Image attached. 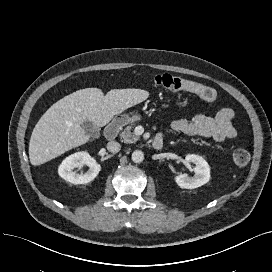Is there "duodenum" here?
<instances>
[{"label":"duodenum","mask_w":272,"mask_h":272,"mask_svg":"<svg viewBox=\"0 0 272 272\" xmlns=\"http://www.w3.org/2000/svg\"><path fill=\"white\" fill-rule=\"evenodd\" d=\"M122 120L121 119H117V120H113L111 121L106 129H105V137L108 141H113L116 139L117 134L121 128L122 125ZM152 146L154 149L156 150H160L163 147V139L162 137H155L153 142H152Z\"/></svg>","instance_id":"obj_1"}]
</instances>
